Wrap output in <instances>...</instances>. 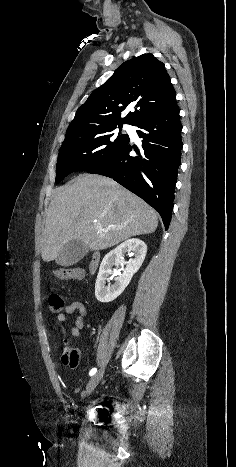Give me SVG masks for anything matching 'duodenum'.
<instances>
[{
	"instance_id": "1",
	"label": "duodenum",
	"mask_w": 236,
	"mask_h": 467,
	"mask_svg": "<svg viewBox=\"0 0 236 467\" xmlns=\"http://www.w3.org/2000/svg\"><path fill=\"white\" fill-rule=\"evenodd\" d=\"M99 263H100V254L98 252H95L92 255L91 260H90L89 265H88L89 272L90 273L95 272L96 269L99 266Z\"/></svg>"
}]
</instances>
